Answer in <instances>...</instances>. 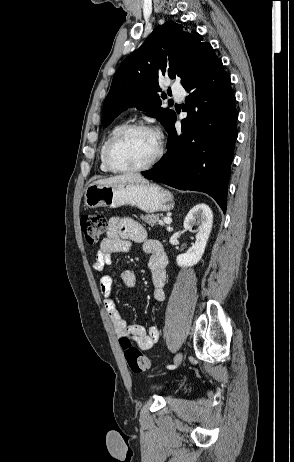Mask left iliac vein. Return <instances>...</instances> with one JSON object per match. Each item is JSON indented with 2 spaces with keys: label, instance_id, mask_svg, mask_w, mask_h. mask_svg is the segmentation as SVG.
I'll return each instance as SVG.
<instances>
[{
  "label": "left iliac vein",
  "instance_id": "1",
  "mask_svg": "<svg viewBox=\"0 0 294 462\" xmlns=\"http://www.w3.org/2000/svg\"><path fill=\"white\" fill-rule=\"evenodd\" d=\"M182 358H183L182 353H178V354L175 356V358H174V366H175V368H177V367L180 365V363H181V361H182ZM175 368H174V369H175Z\"/></svg>",
  "mask_w": 294,
  "mask_h": 462
}]
</instances>
